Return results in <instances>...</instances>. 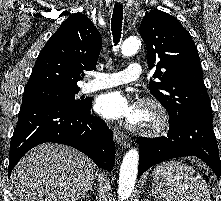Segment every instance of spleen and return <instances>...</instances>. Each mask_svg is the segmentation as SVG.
<instances>
[{"instance_id": "obj_1", "label": "spleen", "mask_w": 221, "mask_h": 201, "mask_svg": "<svg viewBox=\"0 0 221 201\" xmlns=\"http://www.w3.org/2000/svg\"><path fill=\"white\" fill-rule=\"evenodd\" d=\"M152 194L158 201H211L209 188L196 170L179 160L157 165Z\"/></svg>"}]
</instances>
